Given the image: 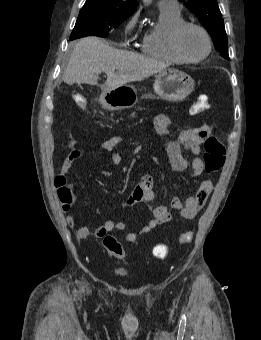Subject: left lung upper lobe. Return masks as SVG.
Wrapping results in <instances>:
<instances>
[{"instance_id":"obj_1","label":"left lung upper lobe","mask_w":261,"mask_h":340,"mask_svg":"<svg viewBox=\"0 0 261 340\" xmlns=\"http://www.w3.org/2000/svg\"><path fill=\"white\" fill-rule=\"evenodd\" d=\"M200 20L210 34L215 48L225 59H229L228 40L224 21L217 0H180Z\"/></svg>"}]
</instances>
